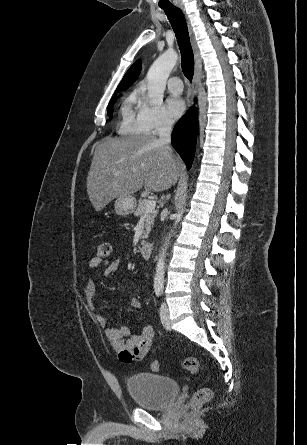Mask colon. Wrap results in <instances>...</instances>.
Instances as JSON below:
<instances>
[{"label":"colon","instance_id":"colon-1","mask_svg":"<svg viewBox=\"0 0 307 445\" xmlns=\"http://www.w3.org/2000/svg\"><path fill=\"white\" fill-rule=\"evenodd\" d=\"M111 250V245L106 242L100 243L95 247L96 256L100 260L107 259L111 255ZM183 367L192 374H197L200 370L199 362L194 357H187L183 362ZM152 369L154 371H159L161 369L160 362L154 361L152 364ZM211 396L212 392L209 388L203 387L197 389L193 393L191 404L193 406H202L211 399Z\"/></svg>","mask_w":307,"mask_h":445}]
</instances>
